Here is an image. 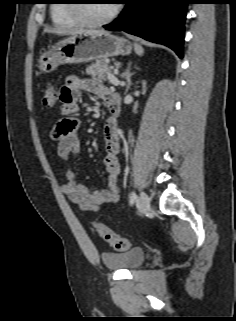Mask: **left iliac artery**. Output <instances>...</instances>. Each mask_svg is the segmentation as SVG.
<instances>
[{"label": "left iliac artery", "mask_w": 236, "mask_h": 321, "mask_svg": "<svg viewBox=\"0 0 236 321\" xmlns=\"http://www.w3.org/2000/svg\"><path fill=\"white\" fill-rule=\"evenodd\" d=\"M137 196L134 192L131 193V196H130V204L132 205L135 200H136Z\"/></svg>", "instance_id": "44dca946"}]
</instances>
